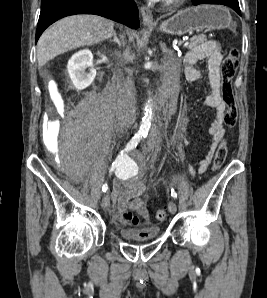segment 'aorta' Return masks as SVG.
I'll return each mask as SVG.
<instances>
[{
    "mask_svg": "<svg viewBox=\"0 0 267 298\" xmlns=\"http://www.w3.org/2000/svg\"><path fill=\"white\" fill-rule=\"evenodd\" d=\"M152 112H153V107H152L151 99H149L145 106V115L142 119V122L139 128V133L141 134L147 133L148 130L150 129V126L152 123Z\"/></svg>",
    "mask_w": 267,
    "mask_h": 298,
    "instance_id": "762f6f07",
    "label": "aorta"
}]
</instances>
